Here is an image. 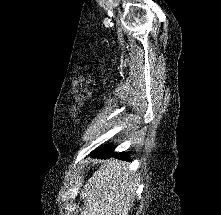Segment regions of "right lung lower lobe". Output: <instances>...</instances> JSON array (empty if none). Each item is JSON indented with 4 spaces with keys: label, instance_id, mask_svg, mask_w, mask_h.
I'll list each match as a JSON object with an SVG mask.
<instances>
[{
    "label": "right lung lower lobe",
    "instance_id": "98d812e1",
    "mask_svg": "<svg viewBox=\"0 0 221 215\" xmlns=\"http://www.w3.org/2000/svg\"><path fill=\"white\" fill-rule=\"evenodd\" d=\"M113 150H114L113 147H102L93 151L92 156L97 157V158H109L110 156H113L122 160L130 161V158L127 154L115 153L113 152Z\"/></svg>",
    "mask_w": 221,
    "mask_h": 215
}]
</instances>
